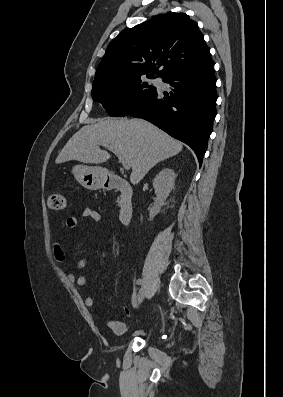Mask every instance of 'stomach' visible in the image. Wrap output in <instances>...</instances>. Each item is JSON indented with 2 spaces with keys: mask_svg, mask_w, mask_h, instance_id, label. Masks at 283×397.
<instances>
[{
  "mask_svg": "<svg viewBox=\"0 0 283 397\" xmlns=\"http://www.w3.org/2000/svg\"><path fill=\"white\" fill-rule=\"evenodd\" d=\"M72 173L83 187L90 190L103 188L107 176L105 169L87 165L73 166Z\"/></svg>",
  "mask_w": 283,
  "mask_h": 397,
  "instance_id": "0dacf381",
  "label": "stomach"
}]
</instances>
